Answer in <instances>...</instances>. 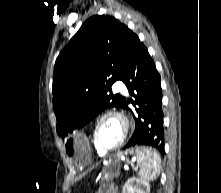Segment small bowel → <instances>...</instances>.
Masks as SVG:
<instances>
[{
  "label": "small bowel",
  "mask_w": 221,
  "mask_h": 193,
  "mask_svg": "<svg viewBox=\"0 0 221 193\" xmlns=\"http://www.w3.org/2000/svg\"><path fill=\"white\" fill-rule=\"evenodd\" d=\"M96 193H118V191L113 185H106L99 189Z\"/></svg>",
  "instance_id": "1"
}]
</instances>
